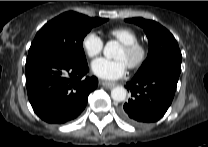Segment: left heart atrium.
<instances>
[{"mask_svg": "<svg viewBox=\"0 0 208 147\" xmlns=\"http://www.w3.org/2000/svg\"><path fill=\"white\" fill-rule=\"evenodd\" d=\"M127 68V63L120 58H98L91 64L92 72L99 78L105 80H116L121 78L126 73Z\"/></svg>", "mask_w": 208, "mask_h": 147, "instance_id": "1", "label": "left heart atrium"}]
</instances>
